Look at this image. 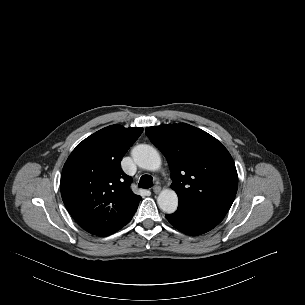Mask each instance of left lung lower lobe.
<instances>
[{
  "instance_id": "1",
  "label": "left lung lower lobe",
  "mask_w": 305,
  "mask_h": 305,
  "mask_svg": "<svg viewBox=\"0 0 305 305\" xmlns=\"http://www.w3.org/2000/svg\"><path fill=\"white\" fill-rule=\"evenodd\" d=\"M230 207L223 204L205 206L179 204L177 211L166 215V218L181 232L188 235H200L217 226Z\"/></svg>"
}]
</instances>
